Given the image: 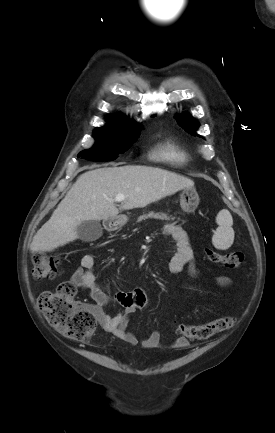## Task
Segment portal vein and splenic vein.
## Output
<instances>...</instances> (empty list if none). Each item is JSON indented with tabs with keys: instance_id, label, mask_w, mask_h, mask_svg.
<instances>
[{
	"instance_id": "18ae733b",
	"label": "portal vein and splenic vein",
	"mask_w": 275,
	"mask_h": 433,
	"mask_svg": "<svg viewBox=\"0 0 275 433\" xmlns=\"http://www.w3.org/2000/svg\"><path fill=\"white\" fill-rule=\"evenodd\" d=\"M125 200V196L122 194L116 195V197L113 199L114 202H122Z\"/></svg>"
}]
</instances>
